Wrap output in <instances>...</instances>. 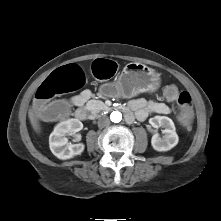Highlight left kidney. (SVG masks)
<instances>
[{"mask_svg":"<svg viewBox=\"0 0 221 221\" xmlns=\"http://www.w3.org/2000/svg\"><path fill=\"white\" fill-rule=\"evenodd\" d=\"M149 123L153 128H164L162 138L158 133L152 136L151 145L156 151H168L178 144L179 138L175 131V125L169 117L155 116L149 119Z\"/></svg>","mask_w":221,"mask_h":221,"instance_id":"left-kidney-1","label":"left kidney"}]
</instances>
